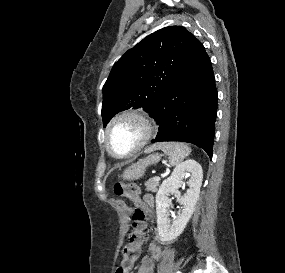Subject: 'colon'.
<instances>
[{
  "mask_svg": "<svg viewBox=\"0 0 285 273\" xmlns=\"http://www.w3.org/2000/svg\"><path fill=\"white\" fill-rule=\"evenodd\" d=\"M114 192L117 196L128 198L131 201V206H134L131 215L134 229L128 236L127 243L122 249L121 259L115 269V273H130L140 255L141 245L145 236L144 230L150 215V212L147 211L149 206L141 199L139 189L133 183H116Z\"/></svg>",
  "mask_w": 285,
  "mask_h": 273,
  "instance_id": "colon-1",
  "label": "colon"
}]
</instances>
